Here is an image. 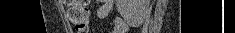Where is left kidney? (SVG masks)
Wrapping results in <instances>:
<instances>
[{
  "instance_id": "obj_1",
  "label": "left kidney",
  "mask_w": 235,
  "mask_h": 33,
  "mask_svg": "<svg viewBox=\"0 0 235 33\" xmlns=\"http://www.w3.org/2000/svg\"><path fill=\"white\" fill-rule=\"evenodd\" d=\"M150 0H116L119 14L129 25H139L148 12Z\"/></svg>"
}]
</instances>
